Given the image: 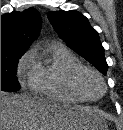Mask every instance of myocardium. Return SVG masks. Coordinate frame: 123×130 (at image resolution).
<instances>
[{
    "label": "myocardium",
    "instance_id": "1",
    "mask_svg": "<svg viewBox=\"0 0 123 130\" xmlns=\"http://www.w3.org/2000/svg\"><path fill=\"white\" fill-rule=\"evenodd\" d=\"M90 79H94L99 85V91L97 94H92L88 82ZM72 84L74 89L88 101H95L99 99L105 92L106 86L102 76L96 70L90 67H82L75 70L72 74Z\"/></svg>",
    "mask_w": 123,
    "mask_h": 130
}]
</instances>
